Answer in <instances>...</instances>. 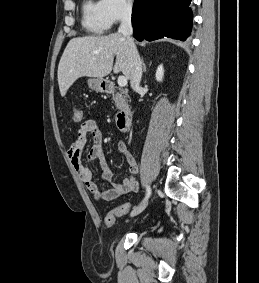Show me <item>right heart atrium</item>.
<instances>
[{"label":"right heart atrium","mask_w":259,"mask_h":283,"mask_svg":"<svg viewBox=\"0 0 259 283\" xmlns=\"http://www.w3.org/2000/svg\"><path fill=\"white\" fill-rule=\"evenodd\" d=\"M100 3L110 25L129 18L134 12L132 0H100Z\"/></svg>","instance_id":"right-heart-atrium-1"}]
</instances>
